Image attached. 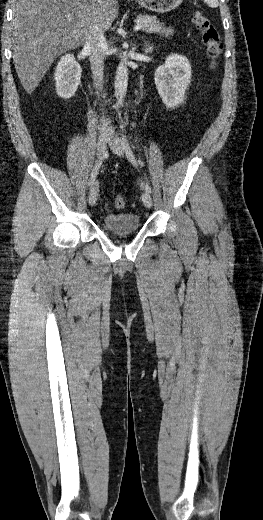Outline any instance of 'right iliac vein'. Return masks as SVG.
<instances>
[{
  "label": "right iliac vein",
  "mask_w": 263,
  "mask_h": 520,
  "mask_svg": "<svg viewBox=\"0 0 263 520\" xmlns=\"http://www.w3.org/2000/svg\"><path fill=\"white\" fill-rule=\"evenodd\" d=\"M108 140V134L106 132H103L100 134L98 141H97V155L99 157H102L106 151V145ZM98 182L95 181L93 185L91 186L89 196H88V202L91 206L95 205L98 199Z\"/></svg>",
  "instance_id": "obj_1"
}]
</instances>
